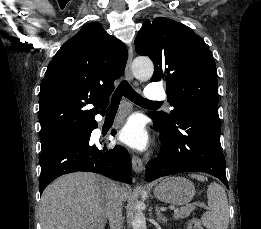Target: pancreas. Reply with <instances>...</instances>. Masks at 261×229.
I'll list each match as a JSON object with an SVG mask.
<instances>
[{"instance_id": "obj_1", "label": "pancreas", "mask_w": 261, "mask_h": 229, "mask_svg": "<svg viewBox=\"0 0 261 229\" xmlns=\"http://www.w3.org/2000/svg\"><path fill=\"white\" fill-rule=\"evenodd\" d=\"M190 213H192V209L190 208L185 210L182 214L175 213L174 219H176V221H178V219H186V217H189Z\"/></svg>"}]
</instances>
